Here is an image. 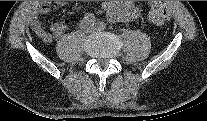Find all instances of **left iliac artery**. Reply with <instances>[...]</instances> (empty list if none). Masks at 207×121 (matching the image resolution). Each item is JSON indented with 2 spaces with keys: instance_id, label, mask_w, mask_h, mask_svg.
Instances as JSON below:
<instances>
[{
  "instance_id": "1",
  "label": "left iliac artery",
  "mask_w": 207,
  "mask_h": 121,
  "mask_svg": "<svg viewBox=\"0 0 207 121\" xmlns=\"http://www.w3.org/2000/svg\"><path fill=\"white\" fill-rule=\"evenodd\" d=\"M98 25H99V27L101 29H105L106 28V24L104 22H99Z\"/></svg>"
}]
</instances>
